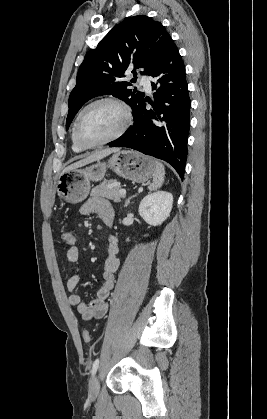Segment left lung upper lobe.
<instances>
[{"label": "left lung upper lobe", "mask_w": 267, "mask_h": 419, "mask_svg": "<svg viewBox=\"0 0 267 419\" xmlns=\"http://www.w3.org/2000/svg\"><path fill=\"white\" fill-rule=\"evenodd\" d=\"M170 40L164 26L145 15L129 17L116 25L95 49L88 51L80 65L69 97L66 129L79 109L96 96L113 95L134 111L145 95L129 88L135 80L125 81V72L136 76L141 68L140 73L148 75L163 57Z\"/></svg>", "instance_id": "left-lung-upper-lobe-1"}]
</instances>
